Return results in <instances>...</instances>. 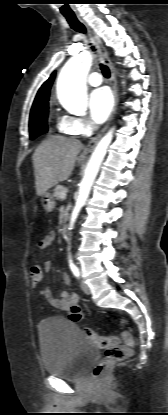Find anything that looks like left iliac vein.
Returning a JSON list of instances; mask_svg holds the SVG:
<instances>
[{
    "label": "left iliac vein",
    "instance_id": "left-iliac-vein-1",
    "mask_svg": "<svg viewBox=\"0 0 168 415\" xmlns=\"http://www.w3.org/2000/svg\"><path fill=\"white\" fill-rule=\"evenodd\" d=\"M80 287L85 294H90L89 286L82 280L80 281Z\"/></svg>",
    "mask_w": 168,
    "mask_h": 415
}]
</instances>
